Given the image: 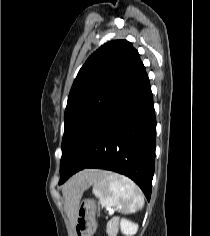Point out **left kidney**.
<instances>
[{
  "label": "left kidney",
  "instance_id": "1",
  "mask_svg": "<svg viewBox=\"0 0 210 236\" xmlns=\"http://www.w3.org/2000/svg\"><path fill=\"white\" fill-rule=\"evenodd\" d=\"M121 232L126 236H133L137 233L138 225L123 218L120 221Z\"/></svg>",
  "mask_w": 210,
  "mask_h": 236
}]
</instances>
